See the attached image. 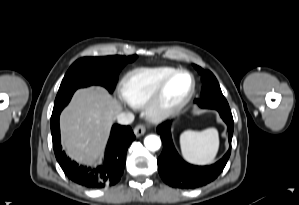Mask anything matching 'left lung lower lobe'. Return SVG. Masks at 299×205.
<instances>
[{
	"label": "left lung lower lobe",
	"instance_id": "0a47b994",
	"mask_svg": "<svg viewBox=\"0 0 299 205\" xmlns=\"http://www.w3.org/2000/svg\"><path fill=\"white\" fill-rule=\"evenodd\" d=\"M201 108L215 109L228 127V137L231 144L234 121L227 102L220 104H209ZM171 122L167 121L158 126L157 132L163 142V151L158 158V170L162 180L171 187L181 189H194L213 181L223 171L231 153V145L227 153L213 165L194 166L188 164L178 155L174 148L171 133Z\"/></svg>",
	"mask_w": 299,
	"mask_h": 205
}]
</instances>
